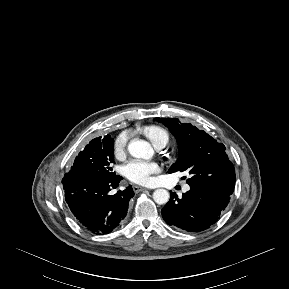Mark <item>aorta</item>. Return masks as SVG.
Wrapping results in <instances>:
<instances>
[{"label": "aorta", "mask_w": 289, "mask_h": 289, "mask_svg": "<svg viewBox=\"0 0 289 289\" xmlns=\"http://www.w3.org/2000/svg\"><path fill=\"white\" fill-rule=\"evenodd\" d=\"M129 153L135 158L150 159L153 155L151 145L140 139H133L128 144ZM169 192L165 189H157L153 192V200L157 204H166L169 201Z\"/></svg>", "instance_id": "1"}]
</instances>
